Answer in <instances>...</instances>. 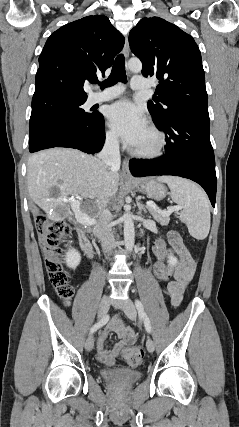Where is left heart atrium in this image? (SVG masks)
<instances>
[{"label":"left heart atrium","mask_w":239,"mask_h":427,"mask_svg":"<svg viewBox=\"0 0 239 427\" xmlns=\"http://www.w3.org/2000/svg\"><path fill=\"white\" fill-rule=\"evenodd\" d=\"M108 124L128 145L134 146L147 128L142 110L127 99L112 104L107 113Z\"/></svg>","instance_id":"obj_1"}]
</instances>
